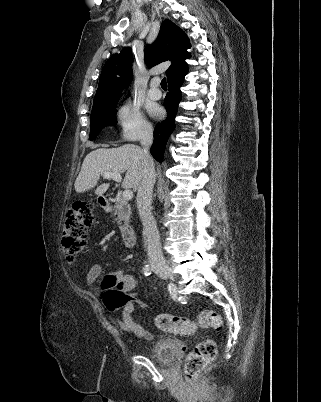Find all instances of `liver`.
<instances>
[{"label":"liver","mask_w":321,"mask_h":402,"mask_svg":"<svg viewBox=\"0 0 321 402\" xmlns=\"http://www.w3.org/2000/svg\"><path fill=\"white\" fill-rule=\"evenodd\" d=\"M143 150L134 144H125L117 148H98L91 151L84 159L81 171L75 181V191L83 193L97 185L100 176L106 172L126 173L122 182L125 189L136 191L143 178ZM110 184H102L96 195L104 194Z\"/></svg>","instance_id":"1"}]
</instances>
